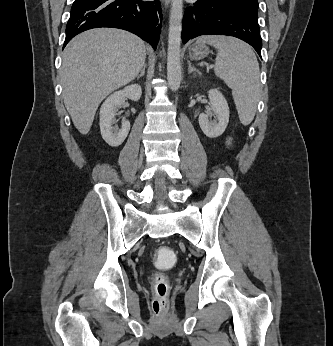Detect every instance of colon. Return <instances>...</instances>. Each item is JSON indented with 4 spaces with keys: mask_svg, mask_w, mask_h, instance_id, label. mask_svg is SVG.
<instances>
[{
    "mask_svg": "<svg viewBox=\"0 0 333 346\" xmlns=\"http://www.w3.org/2000/svg\"><path fill=\"white\" fill-rule=\"evenodd\" d=\"M175 249L159 248L157 257H154V271H172L176 263L174 260ZM171 286L170 281L158 274L154 285V311L156 314H164L168 309V294Z\"/></svg>",
    "mask_w": 333,
    "mask_h": 346,
    "instance_id": "5ec220e1",
    "label": "colon"
}]
</instances>
